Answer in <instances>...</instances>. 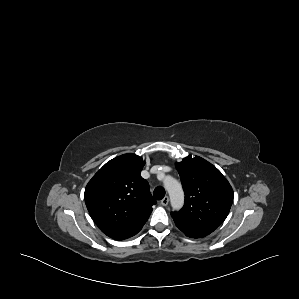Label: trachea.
Returning a JSON list of instances; mask_svg holds the SVG:
<instances>
[{"label":"trachea","mask_w":299,"mask_h":299,"mask_svg":"<svg viewBox=\"0 0 299 299\" xmlns=\"http://www.w3.org/2000/svg\"><path fill=\"white\" fill-rule=\"evenodd\" d=\"M153 195L156 200H162L165 196V189L161 186H158L154 189Z\"/></svg>","instance_id":"obj_1"}]
</instances>
